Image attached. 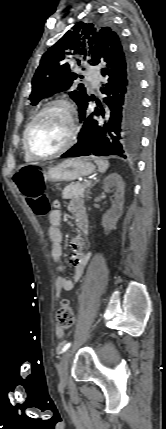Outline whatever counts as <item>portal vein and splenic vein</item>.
Segmentation results:
<instances>
[{
    "label": "portal vein and splenic vein",
    "instance_id": "obj_1",
    "mask_svg": "<svg viewBox=\"0 0 166 429\" xmlns=\"http://www.w3.org/2000/svg\"><path fill=\"white\" fill-rule=\"evenodd\" d=\"M91 181H86L85 184H90Z\"/></svg>",
    "mask_w": 166,
    "mask_h": 429
}]
</instances>
